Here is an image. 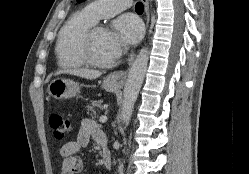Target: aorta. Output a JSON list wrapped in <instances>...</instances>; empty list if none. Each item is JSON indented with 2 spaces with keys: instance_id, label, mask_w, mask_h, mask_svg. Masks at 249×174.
Instances as JSON below:
<instances>
[{
  "instance_id": "obj_1",
  "label": "aorta",
  "mask_w": 249,
  "mask_h": 174,
  "mask_svg": "<svg viewBox=\"0 0 249 174\" xmlns=\"http://www.w3.org/2000/svg\"><path fill=\"white\" fill-rule=\"evenodd\" d=\"M149 51L148 48H142L136 56L128 73L123 92V103L121 117L126 125L129 124L134 104L137 100L141 85L148 66ZM119 174H123V164L118 167Z\"/></svg>"
}]
</instances>
